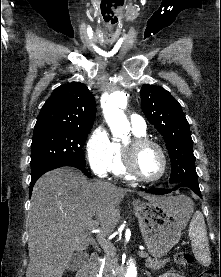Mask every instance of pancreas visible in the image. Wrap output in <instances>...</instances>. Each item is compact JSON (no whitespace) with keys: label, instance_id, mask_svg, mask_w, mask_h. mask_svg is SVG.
I'll return each instance as SVG.
<instances>
[{"label":"pancreas","instance_id":"obj_1","mask_svg":"<svg viewBox=\"0 0 221 277\" xmlns=\"http://www.w3.org/2000/svg\"><path fill=\"white\" fill-rule=\"evenodd\" d=\"M103 249L106 255H105L104 267L102 270V276L114 277L112 275V270L116 267V250L111 243H107L105 247H103ZM139 255H141V253H139ZM144 256L148 257L147 254H145ZM167 262H169V259L157 260V259L147 258L145 265L146 267L155 271L163 268Z\"/></svg>","mask_w":221,"mask_h":277}]
</instances>
